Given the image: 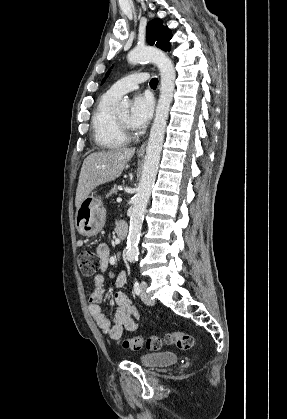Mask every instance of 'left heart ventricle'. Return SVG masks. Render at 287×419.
Returning <instances> with one entry per match:
<instances>
[{
	"instance_id": "left-heart-ventricle-1",
	"label": "left heart ventricle",
	"mask_w": 287,
	"mask_h": 419,
	"mask_svg": "<svg viewBox=\"0 0 287 419\" xmlns=\"http://www.w3.org/2000/svg\"><path fill=\"white\" fill-rule=\"evenodd\" d=\"M116 116L118 119L126 126H129V113L128 111H123L120 113H117Z\"/></svg>"
}]
</instances>
